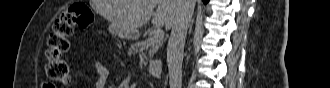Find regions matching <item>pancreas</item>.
<instances>
[{"mask_svg":"<svg viewBox=\"0 0 330 88\" xmlns=\"http://www.w3.org/2000/svg\"><path fill=\"white\" fill-rule=\"evenodd\" d=\"M162 46V41L154 38V36L149 35L145 40L139 41L132 45L130 51L133 53L139 52L141 63L147 59V52L150 58L156 53V51Z\"/></svg>","mask_w":330,"mask_h":88,"instance_id":"cf45deb5","label":"pancreas"}]
</instances>
